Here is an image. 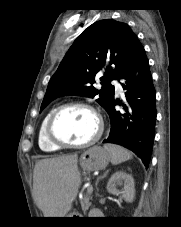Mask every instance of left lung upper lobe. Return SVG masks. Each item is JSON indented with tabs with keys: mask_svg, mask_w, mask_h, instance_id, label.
I'll return each mask as SVG.
<instances>
[{
	"mask_svg": "<svg viewBox=\"0 0 181 227\" xmlns=\"http://www.w3.org/2000/svg\"><path fill=\"white\" fill-rule=\"evenodd\" d=\"M140 44L136 34L122 22L105 19L90 25L73 43L49 81L41 111L64 95L93 98L107 109L114 101L113 79L119 78ZM103 73L102 89H95V76Z\"/></svg>",
	"mask_w": 181,
	"mask_h": 227,
	"instance_id": "5c2ea615",
	"label": "left lung upper lobe"
}]
</instances>
